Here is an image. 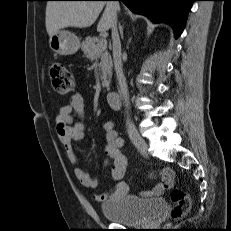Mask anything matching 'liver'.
<instances>
[{
  "mask_svg": "<svg viewBox=\"0 0 231 231\" xmlns=\"http://www.w3.org/2000/svg\"><path fill=\"white\" fill-rule=\"evenodd\" d=\"M105 7L97 30L105 32L117 20V8L113 2L104 1H48L46 6V30L51 37L67 27H90Z\"/></svg>",
  "mask_w": 231,
  "mask_h": 231,
  "instance_id": "6515ba94",
  "label": "liver"
}]
</instances>
